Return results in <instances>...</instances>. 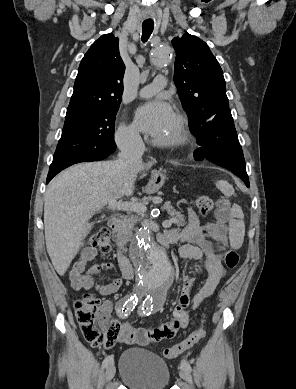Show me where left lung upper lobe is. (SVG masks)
<instances>
[{
	"label": "left lung upper lobe",
	"mask_w": 296,
	"mask_h": 389,
	"mask_svg": "<svg viewBox=\"0 0 296 389\" xmlns=\"http://www.w3.org/2000/svg\"><path fill=\"white\" fill-rule=\"evenodd\" d=\"M172 45L176 52L174 82L190 119V131L197 138L202 125L230 110L223 72L200 38L185 33L174 38Z\"/></svg>",
	"instance_id": "left-lung-upper-lobe-1"
}]
</instances>
